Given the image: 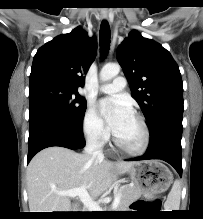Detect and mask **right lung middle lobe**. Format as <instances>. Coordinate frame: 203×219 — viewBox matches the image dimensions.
Here are the masks:
<instances>
[{
	"label": "right lung middle lobe",
	"instance_id": "1",
	"mask_svg": "<svg viewBox=\"0 0 203 219\" xmlns=\"http://www.w3.org/2000/svg\"><path fill=\"white\" fill-rule=\"evenodd\" d=\"M29 105L71 123L81 122L87 107L78 90L55 82L30 84Z\"/></svg>",
	"mask_w": 203,
	"mask_h": 219
}]
</instances>
